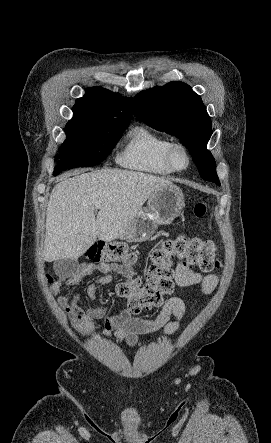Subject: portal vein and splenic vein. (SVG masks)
I'll return each mask as SVG.
<instances>
[{
	"instance_id": "obj_1",
	"label": "portal vein and splenic vein",
	"mask_w": 271,
	"mask_h": 443,
	"mask_svg": "<svg viewBox=\"0 0 271 443\" xmlns=\"http://www.w3.org/2000/svg\"><path fill=\"white\" fill-rule=\"evenodd\" d=\"M95 208L98 210V208H101V204H95Z\"/></svg>"
}]
</instances>
